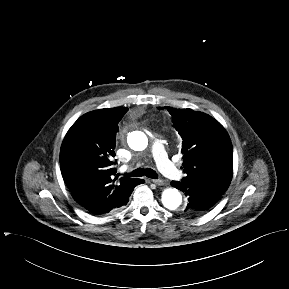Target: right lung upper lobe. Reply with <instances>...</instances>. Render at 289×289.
I'll use <instances>...</instances> for the list:
<instances>
[{
    "mask_svg": "<svg viewBox=\"0 0 289 289\" xmlns=\"http://www.w3.org/2000/svg\"><path fill=\"white\" fill-rule=\"evenodd\" d=\"M128 108L88 112L67 132L60 151L63 179L77 203L94 214H106L127 204L140 179H118L115 162L117 126Z\"/></svg>",
    "mask_w": 289,
    "mask_h": 289,
    "instance_id": "right-lung-upper-lobe-1",
    "label": "right lung upper lobe"
}]
</instances>
